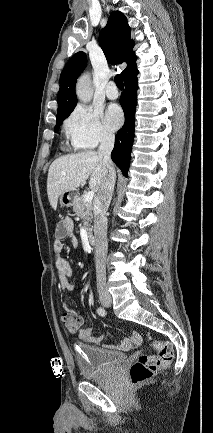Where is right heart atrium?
I'll list each match as a JSON object with an SVG mask.
<instances>
[{
    "mask_svg": "<svg viewBox=\"0 0 213 433\" xmlns=\"http://www.w3.org/2000/svg\"><path fill=\"white\" fill-rule=\"evenodd\" d=\"M64 131L76 149H92L113 140V132L102 122L99 111L77 106L64 122Z\"/></svg>",
    "mask_w": 213,
    "mask_h": 433,
    "instance_id": "right-heart-atrium-1",
    "label": "right heart atrium"
}]
</instances>
